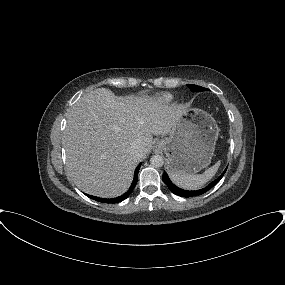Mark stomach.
Segmentation results:
<instances>
[{"label": "stomach", "mask_w": 285, "mask_h": 285, "mask_svg": "<svg viewBox=\"0 0 285 285\" xmlns=\"http://www.w3.org/2000/svg\"><path fill=\"white\" fill-rule=\"evenodd\" d=\"M219 128L205 111L187 109L168 137L155 148L164 151L169 173L195 174L205 168L214 155Z\"/></svg>", "instance_id": "1"}]
</instances>
